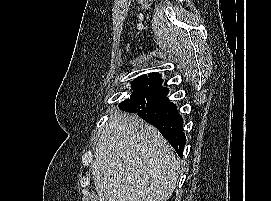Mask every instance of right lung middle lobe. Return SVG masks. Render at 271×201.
Segmentation results:
<instances>
[{"mask_svg": "<svg viewBox=\"0 0 271 201\" xmlns=\"http://www.w3.org/2000/svg\"><path fill=\"white\" fill-rule=\"evenodd\" d=\"M152 74H149L148 76L145 75H141L138 78H136L133 82H132V89H133V93L131 94V96L137 95V94H142L148 84L150 83V81L152 80Z\"/></svg>", "mask_w": 271, "mask_h": 201, "instance_id": "right-lung-middle-lobe-1", "label": "right lung middle lobe"}]
</instances>
